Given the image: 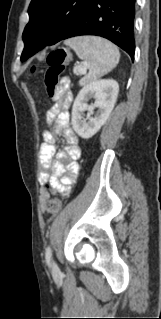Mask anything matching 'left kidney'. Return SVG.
I'll list each match as a JSON object with an SVG mask.
<instances>
[{
  "label": "left kidney",
  "mask_w": 161,
  "mask_h": 319,
  "mask_svg": "<svg viewBox=\"0 0 161 319\" xmlns=\"http://www.w3.org/2000/svg\"><path fill=\"white\" fill-rule=\"evenodd\" d=\"M119 92V85L113 79L96 80L86 85L77 95L73 108L71 124L74 131L83 139L95 135L110 116ZM90 97L95 103L87 104ZM98 109L94 116V109ZM88 112L87 119L83 118Z\"/></svg>",
  "instance_id": "obj_1"
}]
</instances>
